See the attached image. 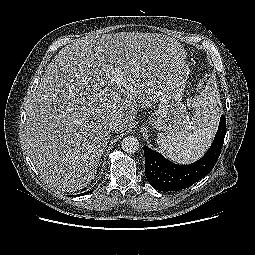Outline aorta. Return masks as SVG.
Instances as JSON below:
<instances>
[{"label":"aorta","instance_id":"aorta-1","mask_svg":"<svg viewBox=\"0 0 255 255\" xmlns=\"http://www.w3.org/2000/svg\"><path fill=\"white\" fill-rule=\"evenodd\" d=\"M121 147L127 153H134L139 149V141L134 136H127L122 140Z\"/></svg>","mask_w":255,"mask_h":255}]
</instances>
